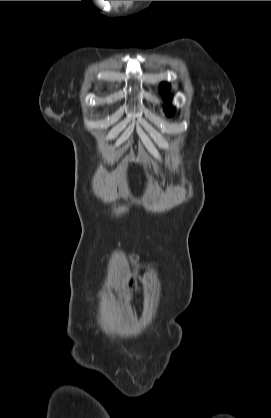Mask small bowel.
I'll use <instances>...</instances> for the list:
<instances>
[{"mask_svg":"<svg viewBox=\"0 0 271 418\" xmlns=\"http://www.w3.org/2000/svg\"><path fill=\"white\" fill-rule=\"evenodd\" d=\"M133 285H134V283H133V282H131L130 286H131V287H134Z\"/></svg>","mask_w":271,"mask_h":418,"instance_id":"1","label":"small bowel"}]
</instances>
